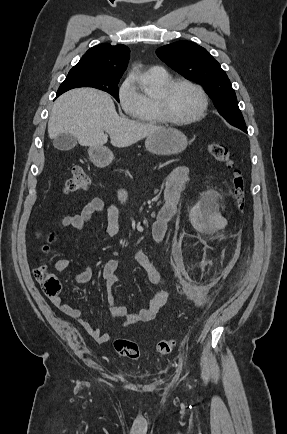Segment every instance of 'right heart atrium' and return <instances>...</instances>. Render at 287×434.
I'll return each mask as SVG.
<instances>
[{
	"label": "right heart atrium",
	"instance_id": "d8ad5b80",
	"mask_svg": "<svg viewBox=\"0 0 287 434\" xmlns=\"http://www.w3.org/2000/svg\"><path fill=\"white\" fill-rule=\"evenodd\" d=\"M118 100L121 108L128 115L133 116L140 110L143 98L132 75L126 77L119 86Z\"/></svg>",
	"mask_w": 287,
	"mask_h": 434
}]
</instances>
